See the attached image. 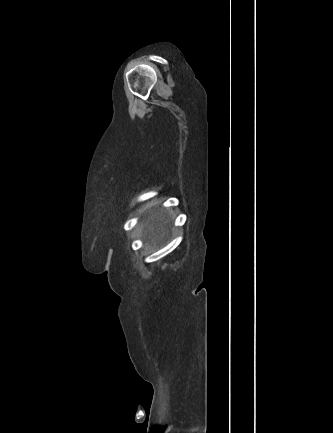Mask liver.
Listing matches in <instances>:
<instances>
[{"instance_id":"6515ba94","label":"liver","mask_w":333,"mask_h":433,"mask_svg":"<svg viewBox=\"0 0 333 433\" xmlns=\"http://www.w3.org/2000/svg\"><path fill=\"white\" fill-rule=\"evenodd\" d=\"M155 205L150 204L146 207L149 212L148 218L141 224L144 231V238L152 246L161 244L169 234L170 219L167 211L154 209Z\"/></svg>"}]
</instances>
